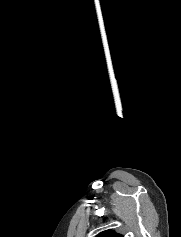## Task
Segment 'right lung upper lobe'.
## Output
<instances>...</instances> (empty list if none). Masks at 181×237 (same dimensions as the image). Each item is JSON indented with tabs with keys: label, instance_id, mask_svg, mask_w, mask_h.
<instances>
[{
	"label": "right lung upper lobe",
	"instance_id": "1",
	"mask_svg": "<svg viewBox=\"0 0 181 237\" xmlns=\"http://www.w3.org/2000/svg\"><path fill=\"white\" fill-rule=\"evenodd\" d=\"M96 237H123V236L120 235V234L115 233L112 230H107V231H104V232L100 233Z\"/></svg>",
	"mask_w": 181,
	"mask_h": 237
}]
</instances>
